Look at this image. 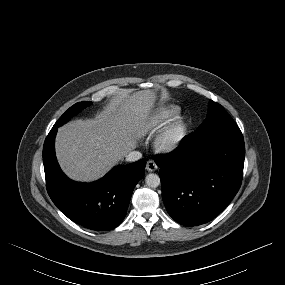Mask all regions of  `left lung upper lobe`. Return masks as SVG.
Returning a JSON list of instances; mask_svg holds the SVG:
<instances>
[{"mask_svg": "<svg viewBox=\"0 0 285 285\" xmlns=\"http://www.w3.org/2000/svg\"><path fill=\"white\" fill-rule=\"evenodd\" d=\"M239 134L241 131L230 115L220 104L210 100L206 119L190 136L196 139H208Z\"/></svg>", "mask_w": 285, "mask_h": 285, "instance_id": "5c2ea615", "label": "left lung upper lobe"}]
</instances>
